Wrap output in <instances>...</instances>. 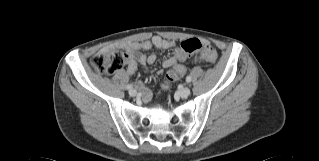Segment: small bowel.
Listing matches in <instances>:
<instances>
[{
  "instance_id": "1",
  "label": "small bowel",
  "mask_w": 319,
  "mask_h": 161,
  "mask_svg": "<svg viewBox=\"0 0 319 161\" xmlns=\"http://www.w3.org/2000/svg\"><path fill=\"white\" fill-rule=\"evenodd\" d=\"M204 46H209V42L204 40ZM152 46L160 50H169L175 47V42L171 40H166L160 36H153L151 40L140 41V42H127L120 43L118 45H108L102 48L101 52L107 53L115 51L116 49L122 50L127 55V74L132 75L136 70L138 64L146 66L147 64H154L158 60L156 54H151L145 56L140 53V51L148 50ZM195 62L199 61L198 57L194 58ZM162 64L165 68H171V70L177 71V78H181L185 74V67L177 62L175 56L162 60ZM137 86L141 89L142 101L147 103L151 98V92L148 88L144 87L141 82L137 83Z\"/></svg>"
}]
</instances>
